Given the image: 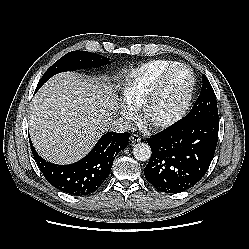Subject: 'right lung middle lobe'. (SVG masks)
<instances>
[{
    "label": "right lung middle lobe",
    "mask_w": 249,
    "mask_h": 249,
    "mask_svg": "<svg viewBox=\"0 0 249 249\" xmlns=\"http://www.w3.org/2000/svg\"><path fill=\"white\" fill-rule=\"evenodd\" d=\"M108 58L87 52L72 51L56 61L40 79L36 91L53 75L63 71H74L76 69L96 68L108 63Z\"/></svg>",
    "instance_id": "1"
}]
</instances>
